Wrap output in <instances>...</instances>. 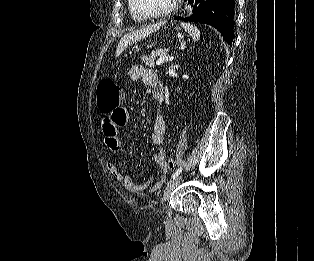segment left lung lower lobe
<instances>
[{"label":"left lung lower lobe","mask_w":314,"mask_h":261,"mask_svg":"<svg viewBox=\"0 0 314 261\" xmlns=\"http://www.w3.org/2000/svg\"><path fill=\"white\" fill-rule=\"evenodd\" d=\"M189 2L194 3L192 16L174 19L211 25L223 35L226 42L232 43L235 0H190Z\"/></svg>","instance_id":"left-lung-lower-lobe-1"}]
</instances>
